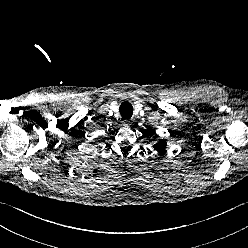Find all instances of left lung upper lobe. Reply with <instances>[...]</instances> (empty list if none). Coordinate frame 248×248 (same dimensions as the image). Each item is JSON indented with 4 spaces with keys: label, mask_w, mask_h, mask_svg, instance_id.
<instances>
[{
    "label": "left lung upper lobe",
    "mask_w": 248,
    "mask_h": 248,
    "mask_svg": "<svg viewBox=\"0 0 248 248\" xmlns=\"http://www.w3.org/2000/svg\"><path fill=\"white\" fill-rule=\"evenodd\" d=\"M154 133V130L152 131H149L147 133V135H150V134H153ZM165 147H166V140H162L160 141L159 143L155 144L154 145V148L158 151V152H163L165 150Z\"/></svg>",
    "instance_id": "1"
}]
</instances>
